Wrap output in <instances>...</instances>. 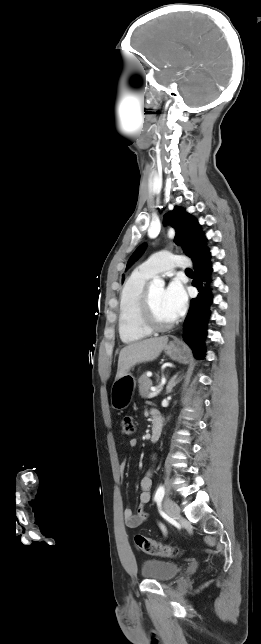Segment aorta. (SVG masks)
<instances>
[{
	"instance_id": "1",
	"label": "aorta",
	"mask_w": 261,
	"mask_h": 644,
	"mask_svg": "<svg viewBox=\"0 0 261 644\" xmlns=\"http://www.w3.org/2000/svg\"><path fill=\"white\" fill-rule=\"evenodd\" d=\"M151 287H163L165 285L164 280L159 277H155L150 283Z\"/></svg>"
}]
</instances>
